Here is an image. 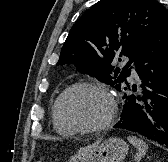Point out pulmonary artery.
<instances>
[{
	"mask_svg": "<svg viewBox=\"0 0 168 162\" xmlns=\"http://www.w3.org/2000/svg\"><path fill=\"white\" fill-rule=\"evenodd\" d=\"M131 74H132V77L137 76L134 63L131 64Z\"/></svg>",
	"mask_w": 168,
	"mask_h": 162,
	"instance_id": "e3ab8cb5",
	"label": "pulmonary artery"
}]
</instances>
